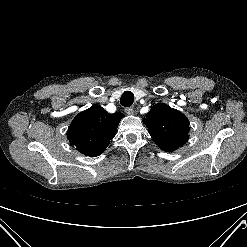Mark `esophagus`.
Returning a JSON list of instances; mask_svg holds the SVG:
<instances>
[{
  "instance_id": "esophagus-1",
  "label": "esophagus",
  "mask_w": 247,
  "mask_h": 247,
  "mask_svg": "<svg viewBox=\"0 0 247 247\" xmlns=\"http://www.w3.org/2000/svg\"><path fill=\"white\" fill-rule=\"evenodd\" d=\"M125 113L128 115L134 114V109L132 107L125 108Z\"/></svg>"
}]
</instances>
